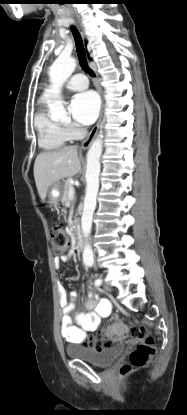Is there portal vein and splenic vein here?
I'll use <instances>...</instances> for the list:
<instances>
[{
  "instance_id": "portal-vein-and-splenic-vein-1",
  "label": "portal vein and splenic vein",
  "mask_w": 187,
  "mask_h": 415,
  "mask_svg": "<svg viewBox=\"0 0 187 415\" xmlns=\"http://www.w3.org/2000/svg\"><path fill=\"white\" fill-rule=\"evenodd\" d=\"M74 196H75V190L73 187H71L69 190V200L70 201L74 200Z\"/></svg>"
}]
</instances>
